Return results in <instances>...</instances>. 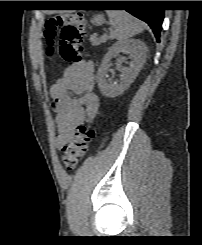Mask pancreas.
<instances>
[{
  "mask_svg": "<svg viewBox=\"0 0 202 245\" xmlns=\"http://www.w3.org/2000/svg\"><path fill=\"white\" fill-rule=\"evenodd\" d=\"M107 38H109V37L107 36L106 38L101 37L100 39H97L96 35H92V36H90V41H91L93 46H98L101 43L106 42Z\"/></svg>",
  "mask_w": 202,
  "mask_h": 245,
  "instance_id": "cf45deb5",
  "label": "pancreas"
}]
</instances>
